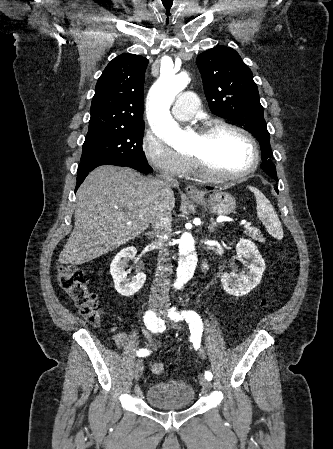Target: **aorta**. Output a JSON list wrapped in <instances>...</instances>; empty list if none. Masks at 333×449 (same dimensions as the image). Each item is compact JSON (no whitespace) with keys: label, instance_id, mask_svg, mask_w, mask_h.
Returning <instances> with one entry per match:
<instances>
[{"label":"aorta","instance_id":"aorta-1","mask_svg":"<svg viewBox=\"0 0 333 449\" xmlns=\"http://www.w3.org/2000/svg\"><path fill=\"white\" fill-rule=\"evenodd\" d=\"M190 74H176L172 68H161L159 79L150 89L147 100V118L155 134L177 151L189 148L188 136L178 127L170 114L175 96L189 81ZM179 244L178 268L175 287L181 289L188 282L197 266L195 238L187 229H181L177 235Z\"/></svg>","mask_w":333,"mask_h":449}]
</instances>
